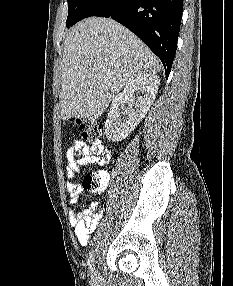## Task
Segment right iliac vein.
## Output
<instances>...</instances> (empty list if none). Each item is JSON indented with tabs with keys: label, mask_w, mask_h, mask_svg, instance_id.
I'll return each mask as SVG.
<instances>
[{
	"label": "right iliac vein",
	"mask_w": 233,
	"mask_h": 286,
	"mask_svg": "<svg viewBox=\"0 0 233 286\" xmlns=\"http://www.w3.org/2000/svg\"><path fill=\"white\" fill-rule=\"evenodd\" d=\"M91 280L94 282L96 280V271L94 270L91 274Z\"/></svg>",
	"instance_id": "obj_1"
}]
</instances>
